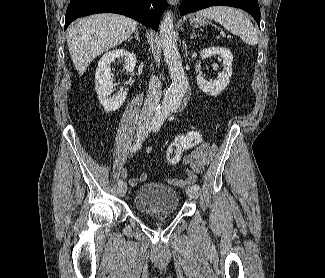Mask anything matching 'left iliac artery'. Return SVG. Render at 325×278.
<instances>
[{
	"label": "left iliac artery",
	"instance_id": "1",
	"mask_svg": "<svg viewBox=\"0 0 325 278\" xmlns=\"http://www.w3.org/2000/svg\"><path fill=\"white\" fill-rule=\"evenodd\" d=\"M159 128H160V125H155V126L153 127V132H155V133L158 132ZM193 188H194L195 190H199V189H200V186L197 185V184H195V185H193Z\"/></svg>",
	"mask_w": 325,
	"mask_h": 278
}]
</instances>
